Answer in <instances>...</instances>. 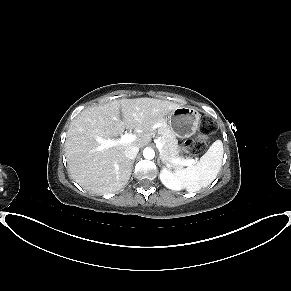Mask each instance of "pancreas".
Listing matches in <instances>:
<instances>
[{
  "instance_id": "pancreas-1",
  "label": "pancreas",
  "mask_w": 291,
  "mask_h": 291,
  "mask_svg": "<svg viewBox=\"0 0 291 291\" xmlns=\"http://www.w3.org/2000/svg\"><path fill=\"white\" fill-rule=\"evenodd\" d=\"M158 134L160 135L161 143L163 144V148L160 150V158L164 163L169 164L173 168L182 167L183 165L181 164V161L185 159L179 156L177 139L170 127L163 123L158 128Z\"/></svg>"
}]
</instances>
